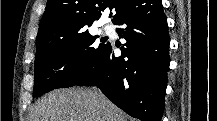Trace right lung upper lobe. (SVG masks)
<instances>
[{
    "mask_svg": "<svg viewBox=\"0 0 217 121\" xmlns=\"http://www.w3.org/2000/svg\"><path fill=\"white\" fill-rule=\"evenodd\" d=\"M141 0H48L36 38V47L62 39L101 17L107 7L113 10L112 22L137 6Z\"/></svg>",
    "mask_w": 217,
    "mask_h": 121,
    "instance_id": "obj_1",
    "label": "right lung upper lobe"
}]
</instances>
